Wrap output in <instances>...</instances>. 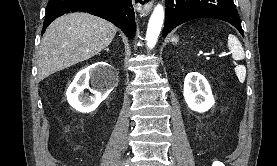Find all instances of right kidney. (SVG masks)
Wrapping results in <instances>:
<instances>
[{
	"label": "right kidney",
	"mask_w": 277,
	"mask_h": 166,
	"mask_svg": "<svg viewBox=\"0 0 277 166\" xmlns=\"http://www.w3.org/2000/svg\"><path fill=\"white\" fill-rule=\"evenodd\" d=\"M109 69L110 66L107 63L99 62L81 70L67 89L68 103L82 113L94 111L107 98L116 84V77L109 72ZM94 76L98 79V91H93V95L89 98L83 97L89 79Z\"/></svg>",
	"instance_id": "ca27d5eb"
}]
</instances>
